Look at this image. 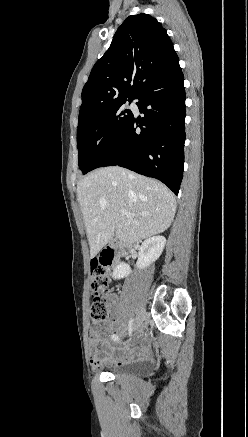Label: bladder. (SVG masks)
<instances>
[{
	"label": "bladder",
	"instance_id": "31cf9c89",
	"mask_svg": "<svg viewBox=\"0 0 248 437\" xmlns=\"http://www.w3.org/2000/svg\"><path fill=\"white\" fill-rule=\"evenodd\" d=\"M115 376H127V377H146L150 372V366L147 363L137 362L126 365L113 366L110 370Z\"/></svg>",
	"mask_w": 248,
	"mask_h": 437
}]
</instances>
